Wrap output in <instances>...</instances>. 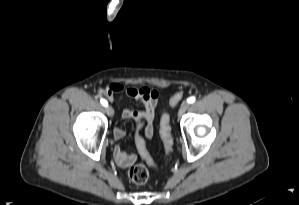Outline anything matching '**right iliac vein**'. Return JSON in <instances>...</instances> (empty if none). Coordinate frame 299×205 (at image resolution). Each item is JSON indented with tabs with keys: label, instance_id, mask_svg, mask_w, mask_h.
<instances>
[{
	"label": "right iliac vein",
	"instance_id": "obj_1",
	"mask_svg": "<svg viewBox=\"0 0 299 205\" xmlns=\"http://www.w3.org/2000/svg\"><path fill=\"white\" fill-rule=\"evenodd\" d=\"M106 112L110 117H113L114 115V109L111 106L106 107Z\"/></svg>",
	"mask_w": 299,
	"mask_h": 205
}]
</instances>
